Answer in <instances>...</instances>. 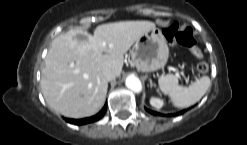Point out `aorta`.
Returning a JSON list of instances; mask_svg holds the SVG:
<instances>
[{
	"label": "aorta",
	"instance_id": "1",
	"mask_svg": "<svg viewBox=\"0 0 247 145\" xmlns=\"http://www.w3.org/2000/svg\"><path fill=\"white\" fill-rule=\"evenodd\" d=\"M125 84L133 92L139 93L142 90L141 81L134 75H129L126 78Z\"/></svg>",
	"mask_w": 247,
	"mask_h": 145
}]
</instances>
